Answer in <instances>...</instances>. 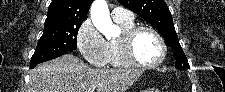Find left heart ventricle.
<instances>
[{"mask_svg": "<svg viewBox=\"0 0 225 92\" xmlns=\"http://www.w3.org/2000/svg\"><path fill=\"white\" fill-rule=\"evenodd\" d=\"M133 53L145 64L153 63L161 56V47L156 37L149 31H141L135 37Z\"/></svg>", "mask_w": 225, "mask_h": 92, "instance_id": "1", "label": "left heart ventricle"}]
</instances>
